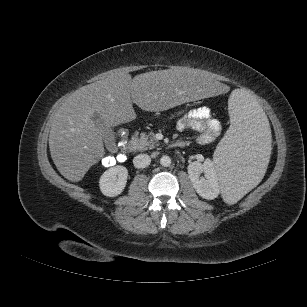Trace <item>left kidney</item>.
I'll return each instance as SVG.
<instances>
[{"label":"left kidney","mask_w":307,"mask_h":307,"mask_svg":"<svg viewBox=\"0 0 307 307\" xmlns=\"http://www.w3.org/2000/svg\"><path fill=\"white\" fill-rule=\"evenodd\" d=\"M190 181L196 192L204 199L213 200L220 193L219 178L214 164L209 160L203 163L194 161L188 165ZM204 173V177L201 176Z\"/></svg>","instance_id":"1"}]
</instances>
